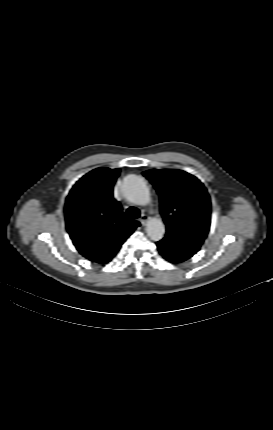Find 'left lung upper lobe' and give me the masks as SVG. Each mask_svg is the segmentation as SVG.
Returning <instances> with one entry per match:
<instances>
[{
    "label": "left lung upper lobe",
    "instance_id": "left-lung-upper-lobe-1",
    "mask_svg": "<svg viewBox=\"0 0 273 430\" xmlns=\"http://www.w3.org/2000/svg\"><path fill=\"white\" fill-rule=\"evenodd\" d=\"M143 174L160 196L166 234L158 243L167 254L192 257L209 232L211 202L206 188L196 177L181 170L152 169Z\"/></svg>",
    "mask_w": 273,
    "mask_h": 430
}]
</instances>
